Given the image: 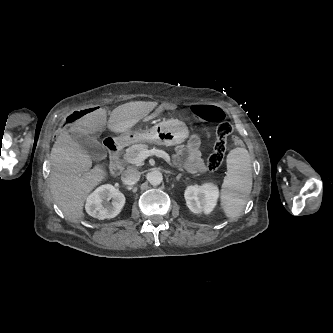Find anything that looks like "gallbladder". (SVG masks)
Instances as JSON below:
<instances>
[{
  "label": "gallbladder",
  "mask_w": 333,
  "mask_h": 333,
  "mask_svg": "<svg viewBox=\"0 0 333 333\" xmlns=\"http://www.w3.org/2000/svg\"><path fill=\"white\" fill-rule=\"evenodd\" d=\"M74 140L85 148L92 159L102 160L106 158V149L93 137L86 134H75Z\"/></svg>",
  "instance_id": "1"
}]
</instances>
